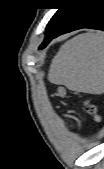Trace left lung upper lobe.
Wrapping results in <instances>:
<instances>
[{"label":"left lung upper lobe","instance_id":"obj_1","mask_svg":"<svg viewBox=\"0 0 104 169\" xmlns=\"http://www.w3.org/2000/svg\"><path fill=\"white\" fill-rule=\"evenodd\" d=\"M64 4L63 7H60L59 10L54 14L47 25L46 35L56 29L63 19L67 16L70 10L75 4V0H60Z\"/></svg>","mask_w":104,"mask_h":169}]
</instances>
